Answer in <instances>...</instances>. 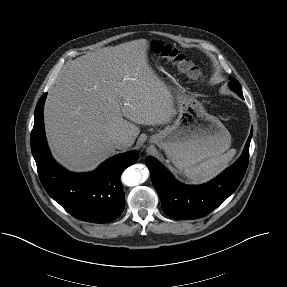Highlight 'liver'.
Instances as JSON below:
<instances>
[{"label":"liver","mask_w":287,"mask_h":287,"mask_svg":"<svg viewBox=\"0 0 287 287\" xmlns=\"http://www.w3.org/2000/svg\"><path fill=\"white\" fill-rule=\"evenodd\" d=\"M147 48L145 39L104 47L63 69L47 96L44 123L53 156L67 169H95L115 152L114 138L127 137L126 150L140 133L137 124H164L176 114Z\"/></svg>","instance_id":"obj_1"}]
</instances>
